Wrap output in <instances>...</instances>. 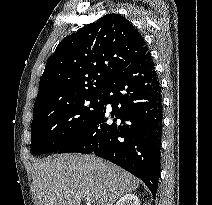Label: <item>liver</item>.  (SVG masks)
<instances>
[{
    "instance_id": "liver-1",
    "label": "liver",
    "mask_w": 212,
    "mask_h": 205,
    "mask_svg": "<svg viewBox=\"0 0 212 205\" xmlns=\"http://www.w3.org/2000/svg\"><path fill=\"white\" fill-rule=\"evenodd\" d=\"M37 205H113L135 191L139 180L95 155L50 156L33 165Z\"/></svg>"
}]
</instances>
